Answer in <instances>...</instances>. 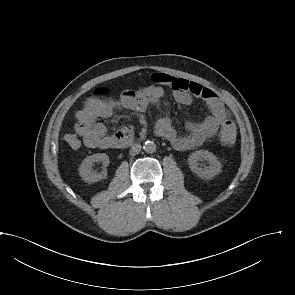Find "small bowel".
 <instances>
[{
    "label": "small bowel",
    "mask_w": 295,
    "mask_h": 295,
    "mask_svg": "<svg viewBox=\"0 0 295 295\" xmlns=\"http://www.w3.org/2000/svg\"><path fill=\"white\" fill-rule=\"evenodd\" d=\"M152 81L151 85L137 90H127L116 99L88 98L75 115V142L69 146L73 149L79 148L80 137L83 144L91 149L116 148L120 138L133 135L132 127L124 126L116 133L108 134L106 126L99 120L111 117L117 109L144 112L151 105H161L165 94L163 86L171 88L173 98L178 104L189 105L193 98L197 97L202 99L210 110V115L200 122L190 123L185 134L176 131L167 115L157 120L156 134L167 139L174 149H195L214 137L225 122H232L222 101L210 88L163 73L154 74Z\"/></svg>",
    "instance_id": "obj_1"
}]
</instances>
